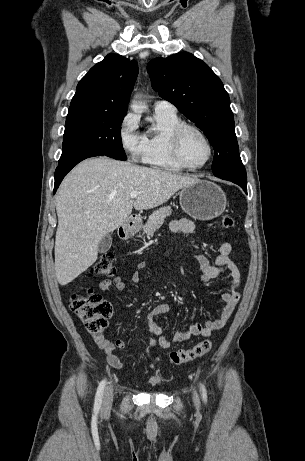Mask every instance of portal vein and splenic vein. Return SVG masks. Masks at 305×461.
<instances>
[{
    "label": "portal vein and splenic vein",
    "instance_id": "18ae733b",
    "mask_svg": "<svg viewBox=\"0 0 305 461\" xmlns=\"http://www.w3.org/2000/svg\"><path fill=\"white\" fill-rule=\"evenodd\" d=\"M138 194L139 193L137 191H133V192L130 193V198L134 199V198H136L138 196Z\"/></svg>",
    "mask_w": 305,
    "mask_h": 461
}]
</instances>
